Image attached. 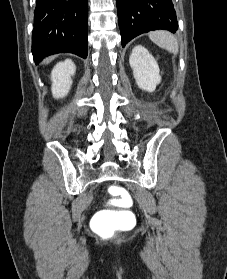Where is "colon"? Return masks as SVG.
Wrapping results in <instances>:
<instances>
[{
	"instance_id": "colon-1",
	"label": "colon",
	"mask_w": 227,
	"mask_h": 279,
	"mask_svg": "<svg viewBox=\"0 0 227 279\" xmlns=\"http://www.w3.org/2000/svg\"><path fill=\"white\" fill-rule=\"evenodd\" d=\"M108 192L113 197L112 201L119 207L107 209L98 214L96 228L100 233H111L119 230L129 219L128 210L123 208L122 205L130 201V194L116 185H110Z\"/></svg>"
}]
</instances>
